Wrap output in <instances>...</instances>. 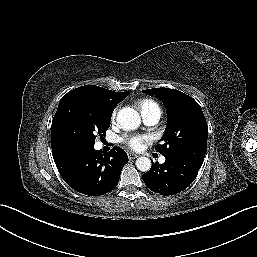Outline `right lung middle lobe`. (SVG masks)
Here are the masks:
<instances>
[{
  "label": "right lung middle lobe",
  "mask_w": 257,
  "mask_h": 257,
  "mask_svg": "<svg viewBox=\"0 0 257 257\" xmlns=\"http://www.w3.org/2000/svg\"><path fill=\"white\" fill-rule=\"evenodd\" d=\"M115 106L103 96L74 89L64 95L52 121L51 147L94 145L96 134L104 136Z\"/></svg>",
  "instance_id": "dd1d6c3e"
}]
</instances>
